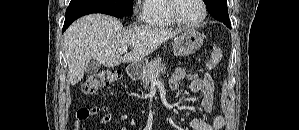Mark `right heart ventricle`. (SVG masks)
I'll use <instances>...</instances> for the list:
<instances>
[{
  "label": "right heart ventricle",
  "mask_w": 299,
  "mask_h": 130,
  "mask_svg": "<svg viewBox=\"0 0 299 130\" xmlns=\"http://www.w3.org/2000/svg\"><path fill=\"white\" fill-rule=\"evenodd\" d=\"M142 18L151 27L166 28L176 25L168 12V0H146Z\"/></svg>",
  "instance_id": "1"
}]
</instances>
